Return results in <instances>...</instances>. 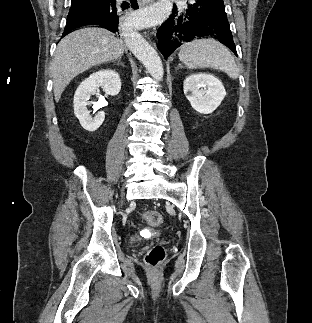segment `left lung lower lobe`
<instances>
[{
  "label": "left lung lower lobe",
  "instance_id": "left-lung-lower-lobe-1",
  "mask_svg": "<svg viewBox=\"0 0 312 323\" xmlns=\"http://www.w3.org/2000/svg\"><path fill=\"white\" fill-rule=\"evenodd\" d=\"M157 37L165 58L183 42L201 37L215 38L236 53L223 0H195L183 10L174 8L169 20L158 29Z\"/></svg>",
  "mask_w": 312,
  "mask_h": 323
}]
</instances>
